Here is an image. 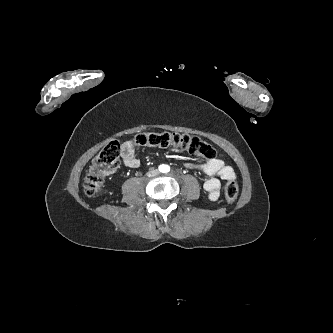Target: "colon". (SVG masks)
I'll list each match as a JSON object with an SVG mask.
<instances>
[{
  "mask_svg": "<svg viewBox=\"0 0 333 333\" xmlns=\"http://www.w3.org/2000/svg\"><path fill=\"white\" fill-rule=\"evenodd\" d=\"M131 143L142 147H177L205 160H211L216 155L213 147L199 137L180 133L144 132L137 134ZM120 153L121 144L113 141L94 158L83 185L86 195H96L103 185L105 176L119 168ZM238 192L237 182L234 179L228 180L225 185V198L229 204L235 202Z\"/></svg>",
  "mask_w": 333,
  "mask_h": 333,
  "instance_id": "obj_1",
  "label": "colon"
}]
</instances>
